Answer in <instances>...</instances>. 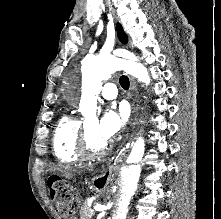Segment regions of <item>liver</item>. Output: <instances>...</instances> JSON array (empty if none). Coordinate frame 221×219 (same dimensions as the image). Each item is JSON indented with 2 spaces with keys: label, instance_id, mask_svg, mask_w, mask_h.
<instances>
[{
  "label": "liver",
  "instance_id": "1",
  "mask_svg": "<svg viewBox=\"0 0 221 219\" xmlns=\"http://www.w3.org/2000/svg\"><path fill=\"white\" fill-rule=\"evenodd\" d=\"M52 170H54V171H55V170H60V169H52Z\"/></svg>",
  "mask_w": 221,
  "mask_h": 219
}]
</instances>
